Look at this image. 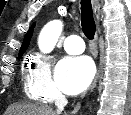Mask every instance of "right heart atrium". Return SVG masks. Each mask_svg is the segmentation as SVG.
Wrapping results in <instances>:
<instances>
[{
  "label": "right heart atrium",
  "instance_id": "1",
  "mask_svg": "<svg viewBox=\"0 0 131 115\" xmlns=\"http://www.w3.org/2000/svg\"><path fill=\"white\" fill-rule=\"evenodd\" d=\"M24 90L28 97L53 103L62 97L52 79L51 61L42 53L32 54L24 72Z\"/></svg>",
  "mask_w": 131,
  "mask_h": 115
}]
</instances>
